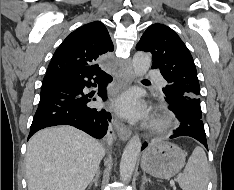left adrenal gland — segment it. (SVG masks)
<instances>
[{
	"mask_svg": "<svg viewBox=\"0 0 234 190\" xmlns=\"http://www.w3.org/2000/svg\"><path fill=\"white\" fill-rule=\"evenodd\" d=\"M147 182L151 183V180L148 179V178L146 177L145 173H144L143 176H142L141 190H144V185H145V183H147Z\"/></svg>",
	"mask_w": 234,
	"mask_h": 190,
	"instance_id": "left-adrenal-gland-1",
	"label": "left adrenal gland"
}]
</instances>
